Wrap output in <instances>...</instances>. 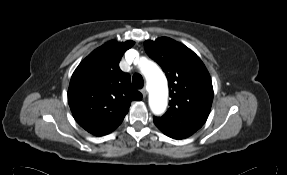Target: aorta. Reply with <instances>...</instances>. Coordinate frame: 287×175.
<instances>
[{"mask_svg":"<svg viewBox=\"0 0 287 175\" xmlns=\"http://www.w3.org/2000/svg\"><path fill=\"white\" fill-rule=\"evenodd\" d=\"M150 89L149 106L153 114L161 115L165 112L168 100V86L162 70L152 61L145 60L140 65Z\"/></svg>","mask_w":287,"mask_h":175,"instance_id":"aorta-1","label":"aorta"}]
</instances>
